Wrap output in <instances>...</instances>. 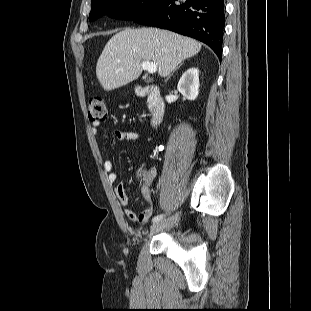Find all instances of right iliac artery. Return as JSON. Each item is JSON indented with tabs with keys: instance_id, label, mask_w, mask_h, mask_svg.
Returning <instances> with one entry per match:
<instances>
[{
	"instance_id": "1",
	"label": "right iliac artery",
	"mask_w": 311,
	"mask_h": 311,
	"mask_svg": "<svg viewBox=\"0 0 311 311\" xmlns=\"http://www.w3.org/2000/svg\"><path fill=\"white\" fill-rule=\"evenodd\" d=\"M164 218L163 214L157 215L152 219L153 223L159 222L160 220H162Z\"/></svg>"
}]
</instances>
